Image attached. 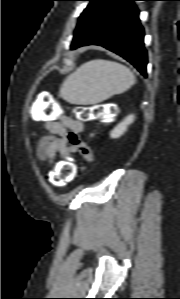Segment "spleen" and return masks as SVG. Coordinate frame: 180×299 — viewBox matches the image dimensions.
I'll list each match as a JSON object with an SVG mask.
<instances>
[{
  "instance_id": "obj_1",
  "label": "spleen",
  "mask_w": 180,
  "mask_h": 299,
  "mask_svg": "<svg viewBox=\"0 0 180 299\" xmlns=\"http://www.w3.org/2000/svg\"><path fill=\"white\" fill-rule=\"evenodd\" d=\"M134 83L135 75L125 65L95 59L67 76L61 85L60 95L71 104H96L125 92Z\"/></svg>"
}]
</instances>
